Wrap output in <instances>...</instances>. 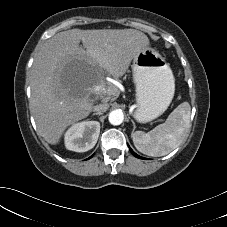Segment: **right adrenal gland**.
Segmentation results:
<instances>
[{
    "mask_svg": "<svg viewBox=\"0 0 227 227\" xmlns=\"http://www.w3.org/2000/svg\"><path fill=\"white\" fill-rule=\"evenodd\" d=\"M101 114H102L101 112L93 113V115H98V116H100Z\"/></svg>",
    "mask_w": 227,
    "mask_h": 227,
    "instance_id": "1",
    "label": "right adrenal gland"
}]
</instances>
